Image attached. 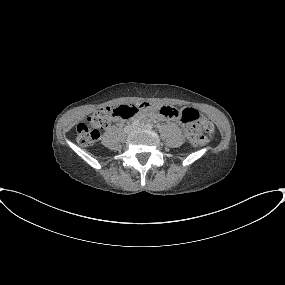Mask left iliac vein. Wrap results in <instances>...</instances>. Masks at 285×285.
Returning a JSON list of instances; mask_svg holds the SVG:
<instances>
[{
	"instance_id": "1",
	"label": "left iliac vein",
	"mask_w": 285,
	"mask_h": 285,
	"mask_svg": "<svg viewBox=\"0 0 285 285\" xmlns=\"http://www.w3.org/2000/svg\"><path fill=\"white\" fill-rule=\"evenodd\" d=\"M144 127H145V125L142 123V124L138 125V126L135 127V128L137 129V128H144Z\"/></svg>"
}]
</instances>
